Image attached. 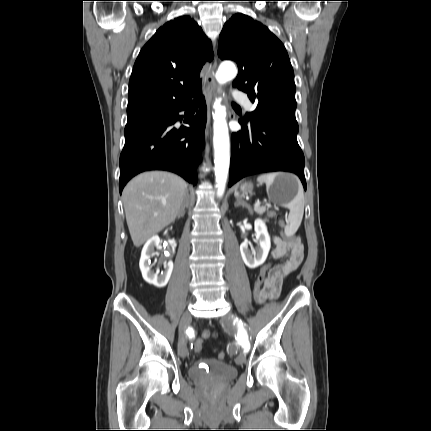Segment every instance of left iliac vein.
<instances>
[{
    "instance_id": "obj_1",
    "label": "left iliac vein",
    "mask_w": 431,
    "mask_h": 431,
    "mask_svg": "<svg viewBox=\"0 0 431 431\" xmlns=\"http://www.w3.org/2000/svg\"><path fill=\"white\" fill-rule=\"evenodd\" d=\"M233 315L232 314H227L222 318V321L224 324L229 325L232 323L233 321ZM236 364L238 365H242L246 362V355L245 353H240L236 359H235Z\"/></svg>"
}]
</instances>
